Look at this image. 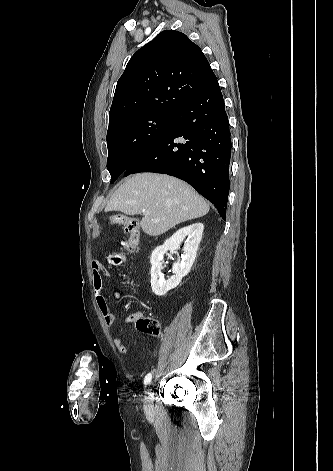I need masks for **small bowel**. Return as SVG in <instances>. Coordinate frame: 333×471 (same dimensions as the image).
<instances>
[{
	"label": "small bowel",
	"mask_w": 333,
	"mask_h": 471,
	"mask_svg": "<svg viewBox=\"0 0 333 471\" xmlns=\"http://www.w3.org/2000/svg\"><path fill=\"white\" fill-rule=\"evenodd\" d=\"M105 276H110V272L105 268L104 264L101 261L94 260L92 262V278L96 303L104 317L106 325L108 327H111L117 322L118 315H116L110 310L106 302L103 293V277ZM141 316L142 314L139 312L133 313L126 318V322L129 324L134 323ZM114 345L116 349L122 354H127L129 351L128 347L125 345L124 341L120 337L114 339Z\"/></svg>",
	"instance_id": "c3829d8e"
}]
</instances>
